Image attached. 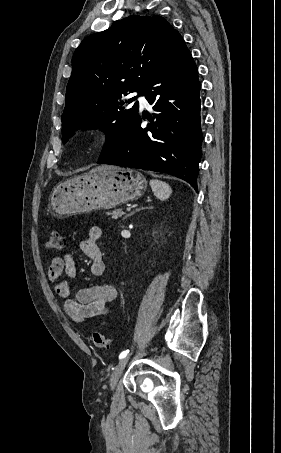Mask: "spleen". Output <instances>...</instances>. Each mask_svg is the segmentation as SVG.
I'll return each instance as SVG.
<instances>
[{"instance_id": "1", "label": "spleen", "mask_w": 281, "mask_h": 453, "mask_svg": "<svg viewBox=\"0 0 281 453\" xmlns=\"http://www.w3.org/2000/svg\"><path fill=\"white\" fill-rule=\"evenodd\" d=\"M150 186L155 196L160 198V200H166L172 192L169 184H167V182H163V180H150Z\"/></svg>"}]
</instances>
